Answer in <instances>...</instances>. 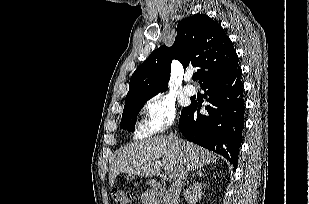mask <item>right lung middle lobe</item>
Instances as JSON below:
<instances>
[{
    "label": "right lung middle lobe",
    "mask_w": 309,
    "mask_h": 204,
    "mask_svg": "<svg viewBox=\"0 0 309 204\" xmlns=\"http://www.w3.org/2000/svg\"><path fill=\"white\" fill-rule=\"evenodd\" d=\"M151 97L147 98H138L125 101V106L122 114V119L120 123V128L125 129L128 131H133L136 124V118L139 111L142 109L144 104L149 100ZM186 108L181 111V116ZM180 116V117H181Z\"/></svg>",
    "instance_id": "dd1d6c3e"
}]
</instances>
